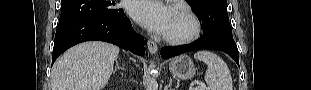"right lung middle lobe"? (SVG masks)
I'll return each mask as SVG.
<instances>
[{
  "instance_id": "1",
  "label": "right lung middle lobe",
  "mask_w": 311,
  "mask_h": 90,
  "mask_svg": "<svg viewBox=\"0 0 311 90\" xmlns=\"http://www.w3.org/2000/svg\"><path fill=\"white\" fill-rule=\"evenodd\" d=\"M114 1L107 0H61L59 25L89 16H115L122 9L114 7Z\"/></svg>"
}]
</instances>
